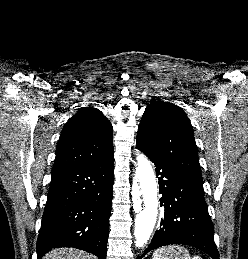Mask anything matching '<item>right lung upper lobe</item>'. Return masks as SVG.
Here are the masks:
<instances>
[{
    "instance_id": "1",
    "label": "right lung upper lobe",
    "mask_w": 248,
    "mask_h": 259,
    "mask_svg": "<svg viewBox=\"0 0 248 259\" xmlns=\"http://www.w3.org/2000/svg\"><path fill=\"white\" fill-rule=\"evenodd\" d=\"M113 127L94 107L80 109L65 124L52 171L95 163L113 154Z\"/></svg>"
}]
</instances>
